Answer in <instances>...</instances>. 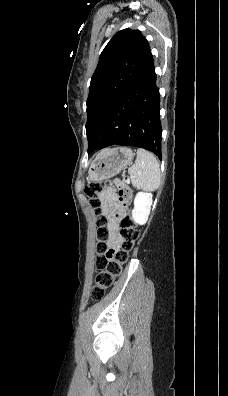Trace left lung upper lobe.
I'll return each mask as SVG.
<instances>
[{
  "label": "left lung upper lobe",
  "instance_id": "5c2ea615",
  "mask_svg": "<svg viewBox=\"0 0 228 396\" xmlns=\"http://www.w3.org/2000/svg\"><path fill=\"white\" fill-rule=\"evenodd\" d=\"M151 58L149 44L138 30L119 31L102 51L87 99L88 153L98 149L102 129L119 114L121 105L116 104Z\"/></svg>",
  "mask_w": 228,
  "mask_h": 396
}]
</instances>
